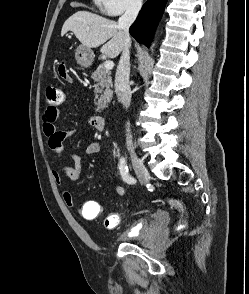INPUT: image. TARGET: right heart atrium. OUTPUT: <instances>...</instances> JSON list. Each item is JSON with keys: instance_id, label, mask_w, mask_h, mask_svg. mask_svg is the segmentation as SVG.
<instances>
[{"instance_id": "right-heart-atrium-1", "label": "right heart atrium", "mask_w": 249, "mask_h": 294, "mask_svg": "<svg viewBox=\"0 0 249 294\" xmlns=\"http://www.w3.org/2000/svg\"><path fill=\"white\" fill-rule=\"evenodd\" d=\"M95 2L100 10L108 16L137 12L143 4V0H95Z\"/></svg>"}]
</instances>
